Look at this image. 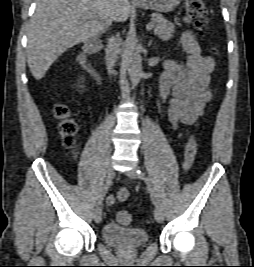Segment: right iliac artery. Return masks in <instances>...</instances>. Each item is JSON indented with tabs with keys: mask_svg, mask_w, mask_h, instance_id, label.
<instances>
[{
	"mask_svg": "<svg viewBox=\"0 0 254 267\" xmlns=\"http://www.w3.org/2000/svg\"><path fill=\"white\" fill-rule=\"evenodd\" d=\"M112 179H113V176L112 177H107L106 182H105L103 188L101 189L100 194L98 195L97 205H101L102 204V201H103L108 189L110 188V186L112 184Z\"/></svg>",
	"mask_w": 254,
	"mask_h": 267,
	"instance_id": "right-iliac-artery-1",
	"label": "right iliac artery"
}]
</instances>
